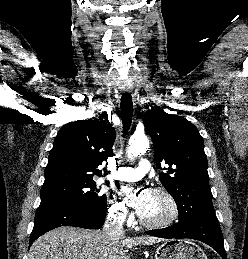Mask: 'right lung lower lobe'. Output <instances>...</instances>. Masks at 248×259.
<instances>
[{
	"instance_id": "98d812e1",
	"label": "right lung lower lobe",
	"mask_w": 248,
	"mask_h": 259,
	"mask_svg": "<svg viewBox=\"0 0 248 259\" xmlns=\"http://www.w3.org/2000/svg\"><path fill=\"white\" fill-rule=\"evenodd\" d=\"M105 212L60 201L41 202L36 211L29 247L38 237L60 226L98 229L104 224Z\"/></svg>"
}]
</instances>
